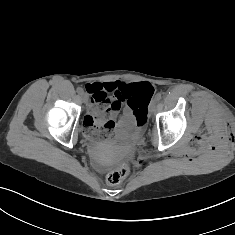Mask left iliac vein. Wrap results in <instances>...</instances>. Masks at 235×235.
<instances>
[{
  "instance_id": "4c4485c4",
  "label": "left iliac vein",
  "mask_w": 235,
  "mask_h": 235,
  "mask_svg": "<svg viewBox=\"0 0 235 235\" xmlns=\"http://www.w3.org/2000/svg\"><path fill=\"white\" fill-rule=\"evenodd\" d=\"M155 110H156V100L154 99L151 101V103L149 105V111H150V113H153V112H155Z\"/></svg>"
}]
</instances>
